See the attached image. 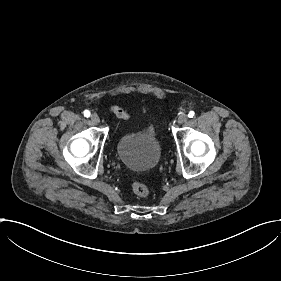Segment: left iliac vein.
I'll return each instance as SVG.
<instances>
[{
  "mask_svg": "<svg viewBox=\"0 0 281 281\" xmlns=\"http://www.w3.org/2000/svg\"><path fill=\"white\" fill-rule=\"evenodd\" d=\"M178 122L180 123V124H186L187 122H188V117H187V115L186 114H181L180 115V117H179V119H178Z\"/></svg>",
  "mask_w": 281,
  "mask_h": 281,
  "instance_id": "left-iliac-vein-1",
  "label": "left iliac vein"
}]
</instances>
